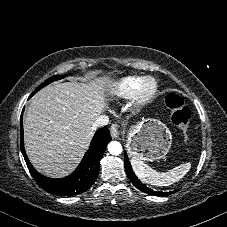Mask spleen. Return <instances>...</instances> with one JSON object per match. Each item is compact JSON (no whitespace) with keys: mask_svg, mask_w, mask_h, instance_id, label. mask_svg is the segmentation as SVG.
Segmentation results:
<instances>
[{"mask_svg":"<svg viewBox=\"0 0 227 227\" xmlns=\"http://www.w3.org/2000/svg\"><path fill=\"white\" fill-rule=\"evenodd\" d=\"M131 165L143 183L154 186H169L182 179L191 168V163L187 162L167 172H158L136 157L131 159Z\"/></svg>","mask_w":227,"mask_h":227,"instance_id":"spleen-1","label":"spleen"}]
</instances>
